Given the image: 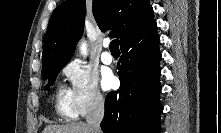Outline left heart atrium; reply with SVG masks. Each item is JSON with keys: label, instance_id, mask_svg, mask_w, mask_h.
Wrapping results in <instances>:
<instances>
[{"label": "left heart atrium", "instance_id": "left-heart-atrium-1", "mask_svg": "<svg viewBox=\"0 0 221 133\" xmlns=\"http://www.w3.org/2000/svg\"><path fill=\"white\" fill-rule=\"evenodd\" d=\"M115 84V78L112 75L111 72H107L104 74L103 79H102V85L105 89H110L114 86Z\"/></svg>", "mask_w": 221, "mask_h": 133}]
</instances>
